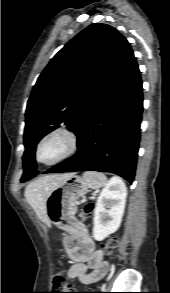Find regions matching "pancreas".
Returning a JSON list of instances; mask_svg holds the SVG:
<instances>
[{"label": "pancreas", "instance_id": "pancreas-1", "mask_svg": "<svg viewBox=\"0 0 170 293\" xmlns=\"http://www.w3.org/2000/svg\"><path fill=\"white\" fill-rule=\"evenodd\" d=\"M81 219H82L83 221H85V217H84L83 215H81Z\"/></svg>", "mask_w": 170, "mask_h": 293}]
</instances>
